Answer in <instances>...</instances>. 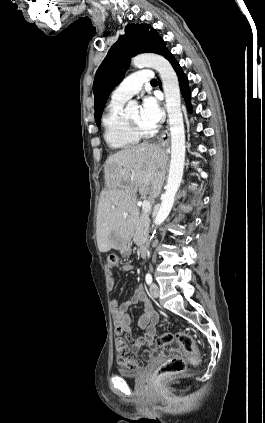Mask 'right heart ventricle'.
<instances>
[{
    "label": "right heart ventricle",
    "instance_id": "obj_1",
    "mask_svg": "<svg viewBox=\"0 0 265 423\" xmlns=\"http://www.w3.org/2000/svg\"><path fill=\"white\" fill-rule=\"evenodd\" d=\"M124 103L125 101L112 99L102 118L105 141L114 149L133 148L138 144L140 138L126 121L123 114Z\"/></svg>",
    "mask_w": 265,
    "mask_h": 423
}]
</instances>
